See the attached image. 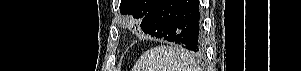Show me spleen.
Returning a JSON list of instances; mask_svg holds the SVG:
<instances>
[{
  "mask_svg": "<svg viewBox=\"0 0 301 71\" xmlns=\"http://www.w3.org/2000/svg\"><path fill=\"white\" fill-rule=\"evenodd\" d=\"M137 65L138 71H197L193 56L178 47L165 45L146 51Z\"/></svg>",
  "mask_w": 301,
  "mask_h": 71,
  "instance_id": "1",
  "label": "spleen"
}]
</instances>
